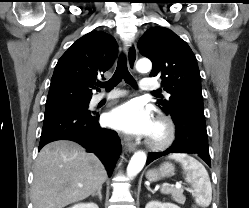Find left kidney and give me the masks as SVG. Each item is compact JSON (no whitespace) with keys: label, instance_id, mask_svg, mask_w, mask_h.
<instances>
[{"label":"left kidney","instance_id":"obj_1","mask_svg":"<svg viewBox=\"0 0 249 208\" xmlns=\"http://www.w3.org/2000/svg\"><path fill=\"white\" fill-rule=\"evenodd\" d=\"M145 208H180L173 203H161L158 201H150L146 204Z\"/></svg>","mask_w":249,"mask_h":208}]
</instances>
